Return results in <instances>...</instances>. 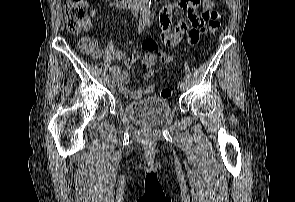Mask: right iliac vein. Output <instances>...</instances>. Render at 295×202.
Listing matches in <instances>:
<instances>
[{
	"label": "right iliac vein",
	"mask_w": 295,
	"mask_h": 202,
	"mask_svg": "<svg viewBox=\"0 0 295 202\" xmlns=\"http://www.w3.org/2000/svg\"><path fill=\"white\" fill-rule=\"evenodd\" d=\"M107 83H108V86L111 87V88H114L115 85H116L115 81H114V80H111V79H109V80L107 81Z\"/></svg>",
	"instance_id": "63e3f726"
}]
</instances>
